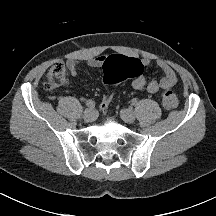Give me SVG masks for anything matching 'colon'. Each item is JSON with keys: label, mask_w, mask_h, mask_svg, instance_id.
<instances>
[{"label": "colon", "mask_w": 216, "mask_h": 216, "mask_svg": "<svg viewBox=\"0 0 216 216\" xmlns=\"http://www.w3.org/2000/svg\"><path fill=\"white\" fill-rule=\"evenodd\" d=\"M144 66L137 60L117 56L109 58L104 65V82L109 87L100 104V109L105 113L113 100L112 87L130 78L142 75ZM66 67L63 62H55L47 73L44 87L53 90L65 80ZM162 103L168 109H174L178 104L174 92L166 90L162 93Z\"/></svg>", "instance_id": "5ec220e1"}]
</instances>
